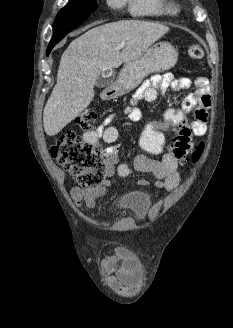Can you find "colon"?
<instances>
[{"label":"colon","mask_w":233,"mask_h":328,"mask_svg":"<svg viewBox=\"0 0 233 328\" xmlns=\"http://www.w3.org/2000/svg\"><path fill=\"white\" fill-rule=\"evenodd\" d=\"M187 53L194 60L203 56L202 47L197 43L190 44ZM97 117V111L88 108L77 116L76 126L80 130L90 131L94 128ZM161 129L173 132L172 143L166 150L179 164L186 161L189 156L194 163L198 162L204 150V143H199L194 150L192 149L193 132L190 121L182 109L167 110L160 125L150 124L144 129L140 138L142 150L148 154H159L165 150V137ZM50 152L60 166L75 176L80 187L94 189L103 183L105 165L101 150L87 143L77 133L68 131L59 134Z\"/></svg>","instance_id":"colon-1"}]
</instances>
